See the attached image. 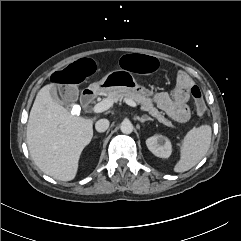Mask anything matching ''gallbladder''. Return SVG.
Here are the masks:
<instances>
[{"label": "gallbladder", "mask_w": 241, "mask_h": 241, "mask_svg": "<svg viewBox=\"0 0 241 241\" xmlns=\"http://www.w3.org/2000/svg\"><path fill=\"white\" fill-rule=\"evenodd\" d=\"M57 89H58V85L52 84L51 87H50V94H51L52 98L59 103L67 104L69 102H75L78 99L79 91L76 87H73V86L69 87L68 91L70 92V97H69L68 101H65V100L61 101L58 98Z\"/></svg>", "instance_id": "bac80fb5"}]
</instances>
